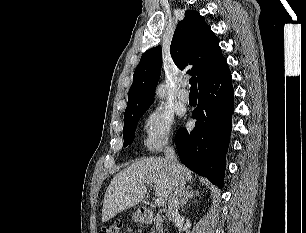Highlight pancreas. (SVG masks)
<instances>
[{
    "label": "pancreas",
    "instance_id": "pancreas-1",
    "mask_svg": "<svg viewBox=\"0 0 306 233\" xmlns=\"http://www.w3.org/2000/svg\"><path fill=\"white\" fill-rule=\"evenodd\" d=\"M162 222L163 220L159 216H156V222H155L154 229L152 230V233H155V231L161 227Z\"/></svg>",
    "mask_w": 306,
    "mask_h": 233
}]
</instances>
